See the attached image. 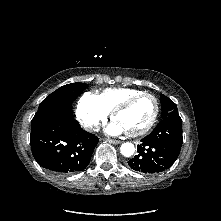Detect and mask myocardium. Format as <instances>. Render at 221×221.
<instances>
[{"mask_svg":"<svg viewBox=\"0 0 221 221\" xmlns=\"http://www.w3.org/2000/svg\"><path fill=\"white\" fill-rule=\"evenodd\" d=\"M142 97H150L153 99L154 113H153L151 120L142 129L135 131V132H127L128 136H130V137H139V136L145 135L154 127V125L159 117V113H160V103H159L158 98L152 93L141 92L139 94L133 95V96L125 99L123 102H121L119 105H117L112 110L111 116H112V119H115L119 113L128 109L135 101H137L138 99H140Z\"/></svg>","mask_w":221,"mask_h":221,"instance_id":"obj_1","label":"myocardium"}]
</instances>
